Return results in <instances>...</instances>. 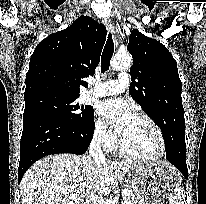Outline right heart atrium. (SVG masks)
<instances>
[{
    "label": "right heart atrium",
    "mask_w": 206,
    "mask_h": 204,
    "mask_svg": "<svg viewBox=\"0 0 206 204\" xmlns=\"http://www.w3.org/2000/svg\"><path fill=\"white\" fill-rule=\"evenodd\" d=\"M94 138L105 149L111 150L115 147L117 138L114 132L106 125V123L100 119L95 122L94 126Z\"/></svg>",
    "instance_id": "d8ad5b80"
}]
</instances>
